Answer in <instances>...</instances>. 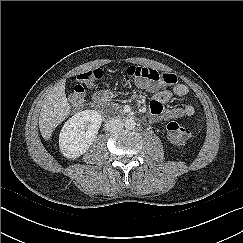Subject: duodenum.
<instances>
[{
    "instance_id": "obj_1",
    "label": "duodenum",
    "mask_w": 243,
    "mask_h": 243,
    "mask_svg": "<svg viewBox=\"0 0 243 243\" xmlns=\"http://www.w3.org/2000/svg\"><path fill=\"white\" fill-rule=\"evenodd\" d=\"M105 101L106 100H97V103H99V104H105ZM132 118H134L133 116H131Z\"/></svg>"
}]
</instances>
